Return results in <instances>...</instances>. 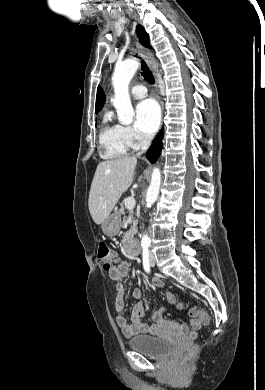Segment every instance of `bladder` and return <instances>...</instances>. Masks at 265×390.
I'll list each match as a JSON object with an SVG mask.
<instances>
[{"mask_svg":"<svg viewBox=\"0 0 265 390\" xmlns=\"http://www.w3.org/2000/svg\"><path fill=\"white\" fill-rule=\"evenodd\" d=\"M128 346L147 357L162 358L169 354L172 345L168 341L152 335H137L128 340Z\"/></svg>","mask_w":265,"mask_h":390,"instance_id":"obj_1","label":"bladder"}]
</instances>
